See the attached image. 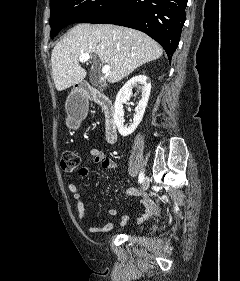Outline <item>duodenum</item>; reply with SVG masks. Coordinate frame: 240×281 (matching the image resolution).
Instances as JSON below:
<instances>
[{"label": "duodenum", "instance_id": "obj_1", "mask_svg": "<svg viewBox=\"0 0 240 281\" xmlns=\"http://www.w3.org/2000/svg\"><path fill=\"white\" fill-rule=\"evenodd\" d=\"M81 101H93L98 104L105 116V137L109 143H114L117 139V125L115 121V109L111 100L95 91H92L86 86L80 88L78 93Z\"/></svg>", "mask_w": 240, "mask_h": 281}]
</instances>
